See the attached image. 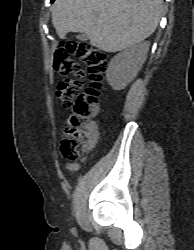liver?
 <instances>
[{
	"label": "liver",
	"mask_w": 194,
	"mask_h": 250,
	"mask_svg": "<svg viewBox=\"0 0 194 250\" xmlns=\"http://www.w3.org/2000/svg\"><path fill=\"white\" fill-rule=\"evenodd\" d=\"M162 4V0H56L52 24L61 39L69 32H80L92 46L117 52L154 33Z\"/></svg>",
	"instance_id": "obj_1"
}]
</instances>
